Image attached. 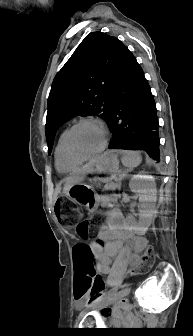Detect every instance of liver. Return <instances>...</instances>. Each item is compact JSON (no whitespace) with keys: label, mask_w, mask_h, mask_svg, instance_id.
<instances>
[{"label":"liver","mask_w":193,"mask_h":336,"mask_svg":"<svg viewBox=\"0 0 193 336\" xmlns=\"http://www.w3.org/2000/svg\"><path fill=\"white\" fill-rule=\"evenodd\" d=\"M98 158L90 160L87 164H85L81 168H78L75 172H73L69 177L65 179V184L63 188L64 194H68L72 186H74L75 184H79L84 180L86 174L90 173L92 166L97 162Z\"/></svg>","instance_id":"1"}]
</instances>
